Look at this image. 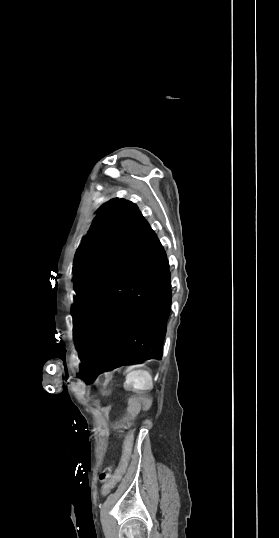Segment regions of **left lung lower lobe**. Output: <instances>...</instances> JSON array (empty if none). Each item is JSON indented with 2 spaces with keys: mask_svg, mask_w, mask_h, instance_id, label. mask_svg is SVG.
<instances>
[{
  "mask_svg": "<svg viewBox=\"0 0 279 538\" xmlns=\"http://www.w3.org/2000/svg\"><path fill=\"white\" fill-rule=\"evenodd\" d=\"M171 297L166 253L151 230L74 326L81 378L161 359Z\"/></svg>",
  "mask_w": 279,
  "mask_h": 538,
  "instance_id": "0a47b994",
  "label": "left lung lower lobe"
}]
</instances>
